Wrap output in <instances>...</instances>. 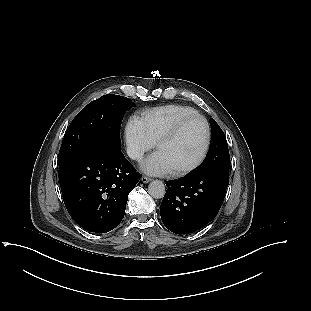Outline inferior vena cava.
Segmentation results:
<instances>
[{
    "label": "inferior vena cava",
    "mask_w": 311,
    "mask_h": 311,
    "mask_svg": "<svg viewBox=\"0 0 311 311\" xmlns=\"http://www.w3.org/2000/svg\"><path fill=\"white\" fill-rule=\"evenodd\" d=\"M127 153L129 155L130 158L134 159V160H140L142 158V153H140L139 151L135 150V149H128Z\"/></svg>",
    "instance_id": "1"
}]
</instances>
